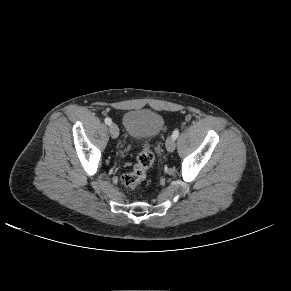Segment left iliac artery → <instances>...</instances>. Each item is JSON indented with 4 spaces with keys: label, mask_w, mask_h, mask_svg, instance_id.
Masks as SVG:
<instances>
[{
    "label": "left iliac artery",
    "mask_w": 291,
    "mask_h": 291,
    "mask_svg": "<svg viewBox=\"0 0 291 291\" xmlns=\"http://www.w3.org/2000/svg\"><path fill=\"white\" fill-rule=\"evenodd\" d=\"M178 135H179V130H178V129H175V130L173 131V133H172V137H173L174 139H176V138L178 137Z\"/></svg>",
    "instance_id": "1"
}]
</instances>
